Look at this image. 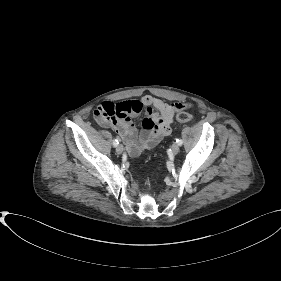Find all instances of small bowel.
Returning <instances> with one entry per match:
<instances>
[{
  "mask_svg": "<svg viewBox=\"0 0 281 281\" xmlns=\"http://www.w3.org/2000/svg\"><path fill=\"white\" fill-rule=\"evenodd\" d=\"M135 102L141 106L140 110L132 111L125 117L118 118L115 121H101L102 124L113 127L123 140L128 153L134 157L139 156L145 150L156 147L164 137L170 135L174 112L188 107L187 104L183 103L168 104L150 95L143 96L140 101H128L125 103L132 107ZM106 103L110 102H104L102 105ZM143 106L147 108L142 124L143 131L138 137L132 118L141 112Z\"/></svg>",
  "mask_w": 281,
  "mask_h": 281,
  "instance_id": "obj_1",
  "label": "small bowel"
}]
</instances>
